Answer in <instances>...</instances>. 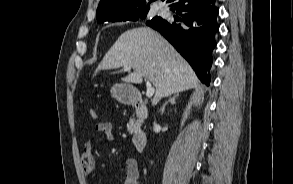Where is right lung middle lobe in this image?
<instances>
[{"instance_id": "obj_1", "label": "right lung middle lobe", "mask_w": 293, "mask_h": 184, "mask_svg": "<svg viewBox=\"0 0 293 184\" xmlns=\"http://www.w3.org/2000/svg\"><path fill=\"white\" fill-rule=\"evenodd\" d=\"M147 13H148V11H143V12L137 13V14L133 15L132 17H129L123 21H126V20L137 21L139 19H144L147 16ZM159 19H160V17H155L152 19V21L159 20Z\"/></svg>"}]
</instances>
